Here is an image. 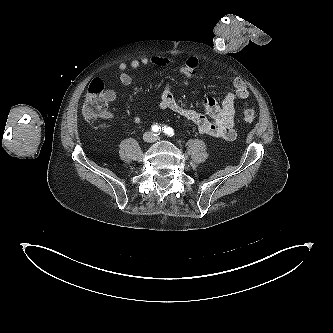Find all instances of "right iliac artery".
Segmentation results:
<instances>
[{"label": "right iliac artery", "instance_id": "obj_1", "mask_svg": "<svg viewBox=\"0 0 333 333\" xmlns=\"http://www.w3.org/2000/svg\"><path fill=\"white\" fill-rule=\"evenodd\" d=\"M159 130H161L160 126H158V125L152 126V131L153 132L157 133Z\"/></svg>", "mask_w": 333, "mask_h": 333}]
</instances>
